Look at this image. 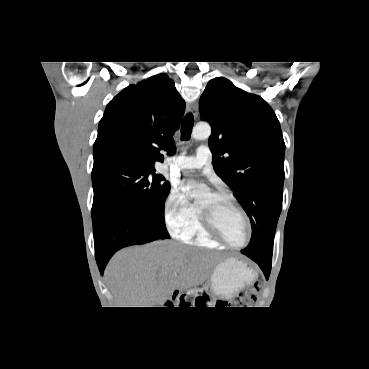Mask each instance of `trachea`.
<instances>
[{
	"label": "trachea",
	"mask_w": 369,
	"mask_h": 369,
	"mask_svg": "<svg viewBox=\"0 0 369 369\" xmlns=\"http://www.w3.org/2000/svg\"><path fill=\"white\" fill-rule=\"evenodd\" d=\"M194 124V117L191 113H188L182 122L181 126V139L182 140H189L192 133V128Z\"/></svg>",
	"instance_id": "obj_1"
}]
</instances>
